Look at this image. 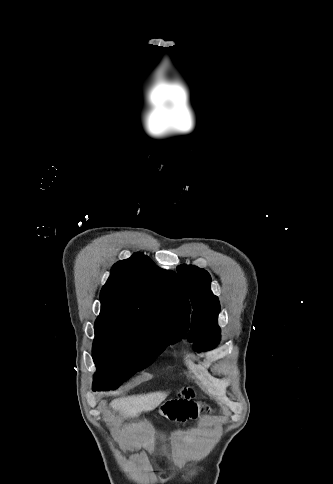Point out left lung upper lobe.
Listing matches in <instances>:
<instances>
[{"label":"left lung upper lobe","mask_w":333,"mask_h":484,"mask_svg":"<svg viewBox=\"0 0 333 484\" xmlns=\"http://www.w3.org/2000/svg\"><path fill=\"white\" fill-rule=\"evenodd\" d=\"M177 270L194 309L188 340L194 342L196 351L213 349L220 339L217 324L220 304L210 289L211 277L207 271L193 265L183 264Z\"/></svg>","instance_id":"1"}]
</instances>
